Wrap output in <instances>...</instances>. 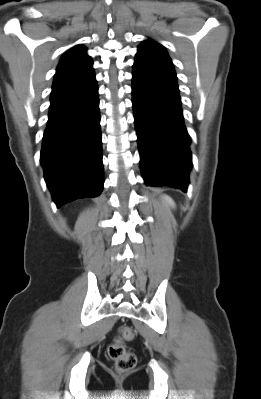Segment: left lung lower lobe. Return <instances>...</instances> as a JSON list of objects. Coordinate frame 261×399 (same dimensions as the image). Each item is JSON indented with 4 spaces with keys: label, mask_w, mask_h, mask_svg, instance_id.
Returning a JSON list of instances; mask_svg holds the SVG:
<instances>
[{
    "label": "left lung lower lobe",
    "mask_w": 261,
    "mask_h": 399,
    "mask_svg": "<svg viewBox=\"0 0 261 399\" xmlns=\"http://www.w3.org/2000/svg\"><path fill=\"white\" fill-rule=\"evenodd\" d=\"M132 103L140 164L148 185L187 190L192 167L175 72L133 65Z\"/></svg>",
    "instance_id": "obj_1"
}]
</instances>
